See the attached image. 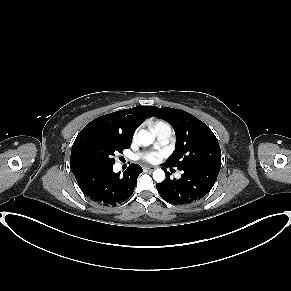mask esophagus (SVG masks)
<instances>
[{"label":"esophagus","mask_w":291,"mask_h":291,"mask_svg":"<svg viewBox=\"0 0 291 291\" xmlns=\"http://www.w3.org/2000/svg\"><path fill=\"white\" fill-rule=\"evenodd\" d=\"M143 169H144L145 171H150V172H152V171L155 170L156 168L153 167V166H144Z\"/></svg>","instance_id":"1"}]
</instances>
